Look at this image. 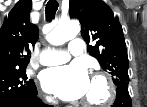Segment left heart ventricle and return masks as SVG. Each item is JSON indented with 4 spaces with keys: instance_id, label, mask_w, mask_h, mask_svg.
I'll return each mask as SVG.
<instances>
[{
    "instance_id": "left-heart-ventricle-1",
    "label": "left heart ventricle",
    "mask_w": 147,
    "mask_h": 107,
    "mask_svg": "<svg viewBox=\"0 0 147 107\" xmlns=\"http://www.w3.org/2000/svg\"><path fill=\"white\" fill-rule=\"evenodd\" d=\"M103 95V86L100 82L90 81V85L87 93L85 94V99H100Z\"/></svg>"
}]
</instances>
